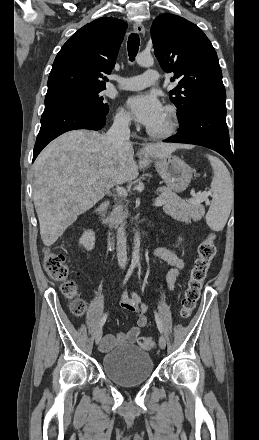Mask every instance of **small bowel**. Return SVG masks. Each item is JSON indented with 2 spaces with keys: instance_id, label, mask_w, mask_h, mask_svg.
<instances>
[{
  "instance_id": "small-bowel-1",
  "label": "small bowel",
  "mask_w": 259,
  "mask_h": 440,
  "mask_svg": "<svg viewBox=\"0 0 259 440\" xmlns=\"http://www.w3.org/2000/svg\"><path fill=\"white\" fill-rule=\"evenodd\" d=\"M152 255L171 265V269L166 275V284L168 290H173L180 272L184 268V261L175 250L169 247H157L153 250ZM120 306L122 309L133 312L136 315L138 327L131 328L125 334H118L116 336L112 334L105 335L101 343L102 351H108L120 345L134 344L140 335V327H144L148 322L146 316L147 305L141 301L135 291L129 292L125 290L121 296Z\"/></svg>"
}]
</instances>
